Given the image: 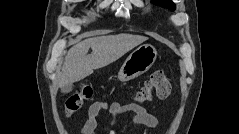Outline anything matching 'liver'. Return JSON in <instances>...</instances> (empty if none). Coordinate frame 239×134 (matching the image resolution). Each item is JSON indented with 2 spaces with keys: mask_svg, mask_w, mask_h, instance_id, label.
I'll return each instance as SVG.
<instances>
[{
  "mask_svg": "<svg viewBox=\"0 0 239 134\" xmlns=\"http://www.w3.org/2000/svg\"><path fill=\"white\" fill-rule=\"evenodd\" d=\"M147 40L144 36L118 34L88 38L68 51L59 77L61 86L72 84L105 67ZM92 53L87 55L89 49Z\"/></svg>",
  "mask_w": 239,
  "mask_h": 134,
  "instance_id": "liver-1",
  "label": "liver"
}]
</instances>
